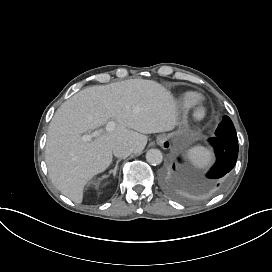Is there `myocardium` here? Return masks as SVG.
I'll use <instances>...</instances> for the list:
<instances>
[{
  "instance_id": "f54148a6",
  "label": "myocardium",
  "mask_w": 272,
  "mask_h": 272,
  "mask_svg": "<svg viewBox=\"0 0 272 272\" xmlns=\"http://www.w3.org/2000/svg\"><path fill=\"white\" fill-rule=\"evenodd\" d=\"M202 100L199 96L193 98L184 104V115L188 122L199 124L208 118L207 111L200 108ZM198 110H202V114L198 115Z\"/></svg>"
}]
</instances>
